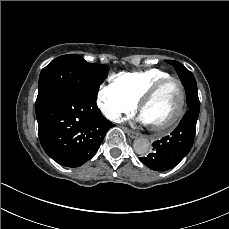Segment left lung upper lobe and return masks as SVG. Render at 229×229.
<instances>
[{"label": "left lung upper lobe", "instance_id": "5c2ea615", "mask_svg": "<svg viewBox=\"0 0 229 229\" xmlns=\"http://www.w3.org/2000/svg\"><path fill=\"white\" fill-rule=\"evenodd\" d=\"M167 63L171 64L177 71L182 84L190 83L194 78L193 74L186 69L180 62L174 60H165Z\"/></svg>", "mask_w": 229, "mask_h": 229}]
</instances>
